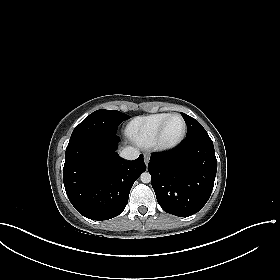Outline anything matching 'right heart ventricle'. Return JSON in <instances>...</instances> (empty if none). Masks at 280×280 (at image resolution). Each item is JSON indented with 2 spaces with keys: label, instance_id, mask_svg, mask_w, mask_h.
Returning a JSON list of instances; mask_svg holds the SVG:
<instances>
[{
  "label": "right heart ventricle",
  "instance_id": "right-heart-ventricle-1",
  "mask_svg": "<svg viewBox=\"0 0 280 280\" xmlns=\"http://www.w3.org/2000/svg\"><path fill=\"white\" fill-rule=\"evenodd\" d=\"M169 115L170 113H155L137 117L129 123L128 133L139 145L149 146L152 144L159 126Z\"/></svg>",
  "mask_w": 280,
  "mask_h": 280
}]
</instances>
